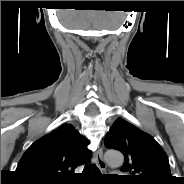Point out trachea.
Wrapping results in <instances>:
<instances>
[{
	"label": "trachea",
	"instance_id": "1",
	"mask_svg": "<svg viewBox=\"0 0 184 184\" xmlns=\"http://www.w3.org/2000/svg\"><path fill=\"white\" fill-rule=\"evenodd\" d=\"M92 169H93L94 173H96V174L100 173L99 169L96 166H93Z\"/></svg>",
	"mask_w": 184,
	"mask_h": 184
}]
</instances>
